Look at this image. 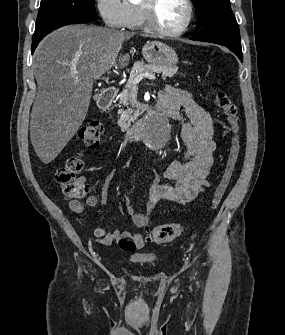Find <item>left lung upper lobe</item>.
Listing matches in <instances>:
<instances>
[{
  "instance_id": "obj_1",
  "label": "left lung upper lobe",
  "mask_w": 285,
  "mask_h": 335,
  "mask_svg": "<svg viewBox=\"0 0 285 335\" xmlns=\"http://www.w3.org/2000/svg\"><path fill=\"white\" fill-rule=\"evenodd\" d=\"M195 4L197 21L208 25L218 20H234L230 0H191Z\"/></svg>"
}]
</instances>
